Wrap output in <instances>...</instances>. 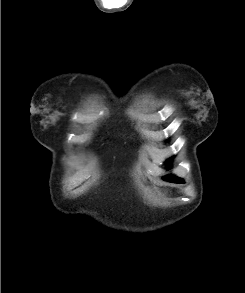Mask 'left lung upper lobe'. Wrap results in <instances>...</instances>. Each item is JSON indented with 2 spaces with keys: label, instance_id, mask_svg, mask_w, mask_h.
Listing matches in <instances>:
<instances>
[{
  "label": "left lung upper lobe",
  "instance_id": "1",
  "mask_svg": "<svg viewBox=\"0 0 245 293\" xmlns=\"http://www.w3.org/2000/svg\"><path fill=\"white\" fill-rule=\"evenodd\" d=\"M170 160H171V159H169V161H170ZM164 180L169 181V182H173V183H180V182L183 181L182 179L177 178V177H175V176H171V175H168V176L164 177Z\"/></svg>",
  "mask_w": 245,
  "mask_h": 293
}]
</instances>
